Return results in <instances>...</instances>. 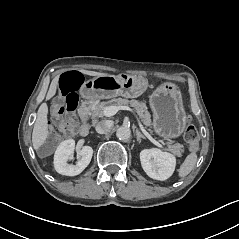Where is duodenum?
I'll list each match as a JSON object with an SVG mask.
<instances>
[{"mask_svg": "<svg viewBox=\"0 0 239 239\" xmlns=\"http://www.w3.org/2000/svg\"><path fill=\"white\" fill-rule=\"evenodd\" d=\"M91 111V104L88 101H84L81 103L79 107V115L81 117V126L79 128V134L81 136H87L90 130L89 126V116Z\"/></svg>", "mask_w": 239, "mask_h": 239, "instance_id": "duodenum-1", "label": "duodenum"}]
</instances>
